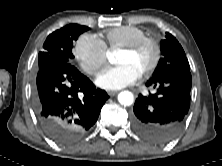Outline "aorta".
Masks as SVG:
<instances>
[{
  "mask_svg": "<svg viewBox=\"0 0 222 166\" xmlns=\"http://www.w3.org/2000/svg\"><path fill=\"white\" fill-rule=\"evenodd\" d=\"M108 59L112 62V55H108ZM118 101L124 106H130L134 101V96L130 91H122L118 94Z\"/></svg>",
  "mask_w": 222,
  "mask_h": 166,
  "instance_id": "obj_1",
  "label": "aorta"
}]
</instances>
